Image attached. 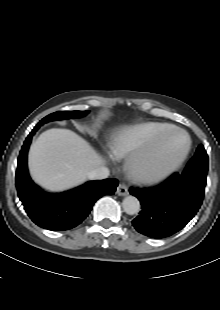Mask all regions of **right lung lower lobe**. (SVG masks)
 Segmentation results:
<instances>
[{
    "instance_id": "1",
    "label": "right lung lower lobe",
    "mask_w": 220,
    "mask_h": 310,
    "mask_svg": "<svg viewBox=\"0 0 220 310\" xmlns=\"http://www.w3.org/2000/svg\"><path fill=\"white\" fill-rule=\"evenodd\" d=\"M38 123L26 138L18 157L16 187L18 196L31 220L38 226L64 231L78 226L90 213L94 203L104 195H113L118 181H89L70 191L49 194L33 183L27 168V153Z\"/></svg>"
}]
</instances>
